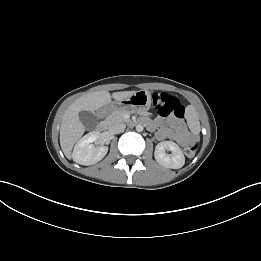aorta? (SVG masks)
Instances as JSON below:
<instances>
[{"label":"aorta","instance_id":"762f6f07","mask_svg":"<svg viewBox=\"0 0 261 261\" xmlns=\"http://www.w3.org/2000/svg\"><path fill=\"white\" fill-rule=\"evenodd\" d=\"M136 130H137L138 132H142V131H143V126H142L141 124H138V125L136 126Z\"/></svg>","mask_w":261,"mask_h":261}]
</instances>
